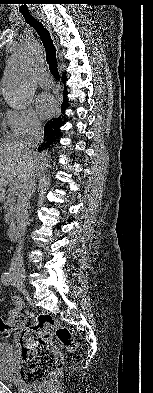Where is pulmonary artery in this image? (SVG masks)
Returning a JSON list of instances; mask_svg holds the SVG:
<instances>
[{
  "mask_svg": "<svg viewBox=\"0 0 153 393\" xmlns=\"http://www.w3.org/2000/svg\"><path fill=\"white\" fill-rule=\"evenodd\" d=\"M38 82L42 88H49L52 85L53 80L48 73H42L39 76Z\"/></svg>",
  "mask_w": 153,
  "mask_h": 393,
  "instance_id": "obj_1",
  "label": "pulmonary artery"
}]
</instances>
